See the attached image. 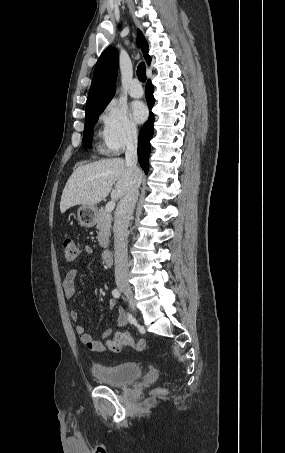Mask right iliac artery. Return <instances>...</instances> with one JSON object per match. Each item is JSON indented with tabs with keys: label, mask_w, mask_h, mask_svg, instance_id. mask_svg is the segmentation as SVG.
<instances>
[{
	"label": "right iliac artery",
	"mask_w": 285,
	"mask_h": 453,
	"mask_svg": "<svg viewBox=\"0 0 285 453\" xmlns=\"http://www.w3.org/2000/svg\"><path fill=\"white\" fill-rule=\"evenodd\" d=\"M112 295H113L115 298H120V291H119L118 289H114V290L112 291ZM128 319H129L130 323L133 322L132 317H131L129 314H128Z\"/></svg>",
	"instance_id": "obj_1"
}]
</instances>
